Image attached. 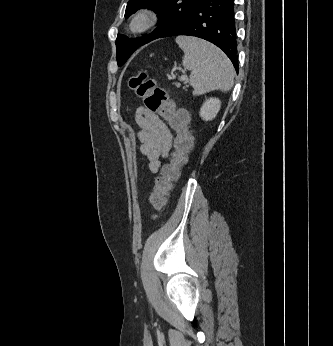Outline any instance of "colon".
<instances>
[{
	"label": "colon",
	"instance_id": "1",
	"mask_svg": "<svg viewBox=\"0 0 333 346\" xmlns=\"http://www.w3.org/2000/svg\"><path fill=\"white\" fill-rule=\"evenodd\" d=\"M131 89L144 101L145 108L166 119L170 128L176 132L175 151L171 160L162 168L156 178L150 195V204L155 212L164 208L172 184L179 178L180 169L187 163L188 153L193 144V136L188 129V116L184 110L176 109L168 100L166 91L157 86L146 71H141L129 81Z\"/></svg>",
	"mask_w": 333,
	"mask_h": 346
}]
</instances>
